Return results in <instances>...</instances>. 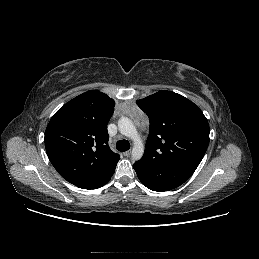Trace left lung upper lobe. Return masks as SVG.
<instances>
[{
    "mask_svg": "<svg viewBox=\"0 0 259 259\" xmlns=\"http://www.w3.org/2000/svg\"><path fill=\"white\" fill-rule=\"evenodd\" d=\"M136 103L150 120L142 158L193 173L209 144V124L203 112L182 95L165 90Z\"/></svg>",
    "mask_w": 259,
    "mask_h": 259,
    "instance_id": "5c2ea615",
    "label": "left lung upper lobe"
}]
</instances>
